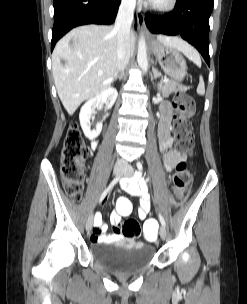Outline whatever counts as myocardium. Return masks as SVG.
I'll list each match as a JSON object with an SVG mask.
<instances>
[{
    "label": "myocardium",
    "mask_w": 247,
    "mask_h": 304,
    "mask_svg": "<svg viewBox=\"0 0 247 304\" xmlns=\"http://www.w3.org/2000/svg\"><path fill=\"white\" fill-rule=\"evenodd\" d=\"M177 0H166L162 4L151 2L149 4V8L151 11L158 13V14H167L174 10L176 7Z\"/></svg>",
    "instance_id": "myocardium-1"
}]
</instances>
